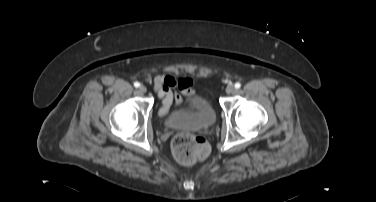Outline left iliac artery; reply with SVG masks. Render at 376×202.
Returning a JSON list of instances; mask_svg holds the SVG:
<instances>
[{"label":"left iliac artery","mask_w":376,"mask_h":202,"mask_svg":"<svg viewBox=\"0 0 376 202\" xmlns=\"http://www.w3.org/2000/svg\"><path fill=\"white\" fill-rule=\"evenodd\" d=\"M241 87V84L239 82L235 83V88L239 89Z\"/></svg>","instance_id":"44dca946"}]
</instances>
